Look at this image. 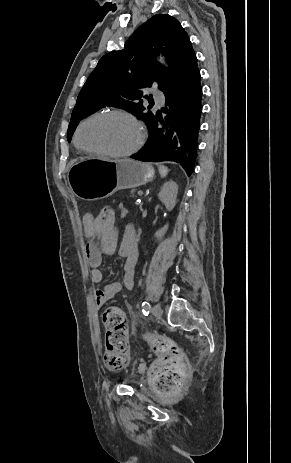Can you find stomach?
Instances as JSON below:
<instances>
[{
    "instance_id": "stomach-1",
    "label": "stomach",
    "mask_w": 291,
    "mask_h": 463,
    "mask_svg": "<svg viewBox=\"0 0 291 463\" xmlns=\"http://www.w3.org/2000/svg\"><path fill=\"white\" fill-rule=\"evenodd\" d=\"M154 169L130 159L85 157L71 162L67 180L73 193L83 200L106 198L120 189L151 181Z\"/></svg>"
}]
</instances>
